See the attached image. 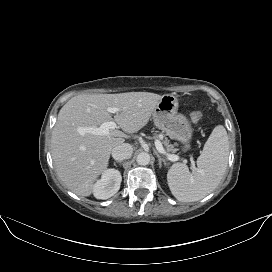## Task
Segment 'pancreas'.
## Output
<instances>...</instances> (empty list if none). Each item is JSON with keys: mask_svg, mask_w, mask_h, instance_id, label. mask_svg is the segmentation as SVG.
I'll return each mask as SVG.
<instances>
[{"mask_svg": "<svg viewBox=\"0 0 272 272\" xmlns=\"http://www.w3.org/2000/svg\"><path fill=\"white\" fill-rule=\"evenodd\" d=\"M159 138L160 139L164 138L162 143L164 144L167 152L175 153L178 150L177 148L174 147V145L169 143L168 138L164 137L163 135H160Z\"/></svg>", "mask_w": 272, "mask_h": 272, "instance_id": "1", "label": "pancreas"}]
</instances>
